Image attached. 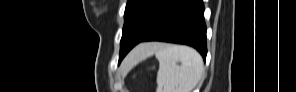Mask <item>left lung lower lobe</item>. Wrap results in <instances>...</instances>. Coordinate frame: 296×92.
I'll return each mask as SVG.
<instances>
[{
  "mask_svg": "<svg viewBox=\"0 0 296 92\" xmlns=\"http://www.w3.org/2000/svg\"><path fill=\"white\" fill-rule=\"evenodd\" d=\"M143 41L186 44L197 49L205 60L207 44L203 1L170 0L156 25L141 42Z\"/></svg>",
  "mask_w": 296,
  "mask_h": 92,
  "instance_id": "obj_1",
  "label": "left lung lower lobe"
}]
</instances>
